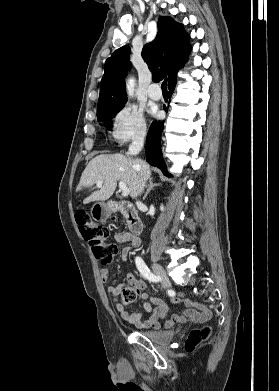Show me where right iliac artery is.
Segmentation results:
<instances>
[{
    "label": "right iliac artery",
    "instance_id": "82829eb1",
    "mask_svg": "<svg viewBox=\"0 0 279 391\" xmlns=\"http://www.w3.org/2000/svg\"><path fill=\"white\" fill-rule=\"evenodd\" d=\"M135 263L139 272L142 274L144 278L152 282L158 281V277L149 270L145 262L140 257H136Z\"/></svg>",
    "mask_w": 279,
    "mask_h": 391
}]
</instances>
